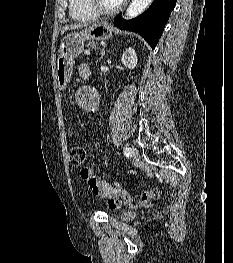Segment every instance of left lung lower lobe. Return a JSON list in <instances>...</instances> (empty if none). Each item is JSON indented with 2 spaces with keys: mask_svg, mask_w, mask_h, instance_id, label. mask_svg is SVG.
I'll list each match as a JSON object with an SVG mask.
<instances>
[{
  "mask_svg": "<svg viewBox=\"0 0 233 263\" xmlns=\"http://www.w3.org/2000/svg\"><path fill=\"white\" fill-rule=\"evenodd\" d=\"M176 1L154 0L144 13L132 20L126 21L121 15H118L114 19V25L122 30L139 33L152 48H155Z\"/></svg>",
  "mask_w": 233,
  "mask_h": 263,
  "instance_id": "0a47b994",
  "label": "left lung lower lobe"
}]
</instances>
